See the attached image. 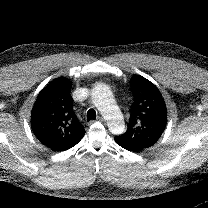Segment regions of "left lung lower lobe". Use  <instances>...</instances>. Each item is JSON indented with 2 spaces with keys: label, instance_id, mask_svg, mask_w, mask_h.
<instances>
[{
  "label": "left lung lower lobe",
  "instance_id": "0a47b994",
  "mask_svg": "<svg viewBox=\"0 0 208 208\" xmlns=\"http://www.w3.org/2000/svg\"><path fill=\"white\" fill-rule=\"evenodd\" d=\"M115 142L121 146L122 148L128 150V151H132V152H140L142 150H144V148H141L139 146H136L134 144H131L129 142L123 141L118 137H115Z\"/></svg>",
  "mask_w": 208,
  "mask_h": 208
}]
</instances>
